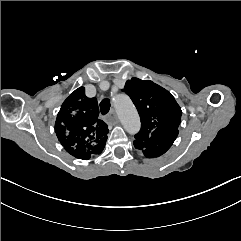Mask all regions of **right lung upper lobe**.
Instances as JSON below:
<instances>
[{"label":"right lung upper lobe","instance_id":"cb5924a9","mask_svg":"<svg viewBox=\"0 0 241 241\" xmlns=\"http://www.w3.org/2000/svg\"><path fill=\"white\" fill-rule=\"evenodd\" d=\"M98 116L97 99L88 98L84 87L76 89L63 102L55 132L65 150L75 158L89 160L102 153L109 130Z\"/></svg>","mask_w":241,"mask_h":241}]
</instances>
